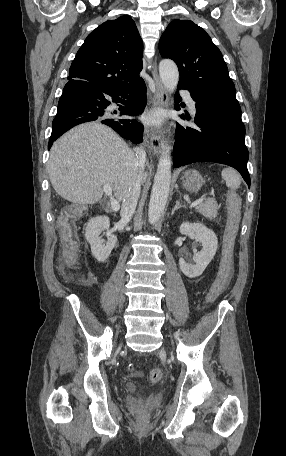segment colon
I'll return each mask as SVG.
<instances>
[{
	"label": "colon",
	"mask_w": 286,
	"mask_h": 456,
	"mask_svg": "<svg viewBox=\"0 0 286 456\" xmlns=\"http://www.w3.org/2000/svg\"><path fill=\"white\" fill-rule=\"evenodd\" d=\"M227 204L229 210V220L226 228L224 250L222 254L218 275L206 295V303H212L226 287L233 275V245L238 223L240 200L235 193H228ZM63 260L65 264L72 265L75 261L78 248L77 238L72 225H69L64 234ZM127 370L130 374L134 373V366L129 364ZM163 372L160 368H154L149 374V380L156 383L162 379Z\"/></svg>",
	"instance_id": "obj_1"
}]
</instances>
